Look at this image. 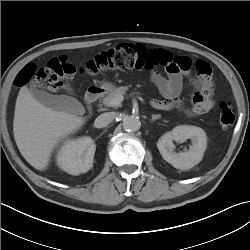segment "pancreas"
Listing matches in <instances>:
<instances>
[{"label":"pancreas","mask_w":250,"mask_h":250,"mask_svg":"<svg viewBox=\"0 0 250 250\" xmlns=\"http://www.w3.org/2000/svg\"><path fill=\"white\" fill-rule=\"evenodd\" d=\"M128 90L127 86H122L118 88L112 89L103 99H102V104L107 106V107H117L119 105H113L111 102L113 98L117 95H124L126 91Z\"/></svg>","instance_id":"1"}]
</instances>
